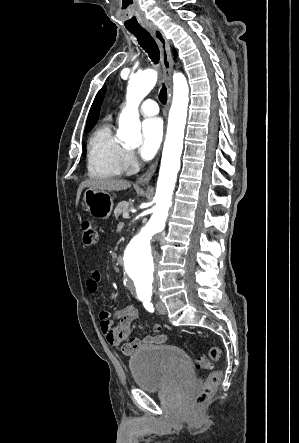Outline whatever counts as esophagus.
Listing matches in <instances>:
<instances>
[{
  "label": "esophagus",
  "instance_id": "34e87169",
  "mask_svg": "<svg viewBox=\"0 0 299 443\" xmlns=\"http://www.w3.org/2000/svg\"><path fill=\"white\" fill-rule=\"evenodd\" d=\"M148 31L154 36L161 54V62L163 66L164 71V78L167 84L168 88V100H167V106L166 110L169 109L172 99V71H173V60L172 55L169 47V43L167 39L165 38L163 32L157 28V27H150L148 28ZM158 166V159L151 165V167L139 177L137 180V183L141 186H145L149 184L150 179L154 175L156 168Z\"/></svg>",
  "mask_w": 299,
  "mask_h": 443
}]
</instances>
